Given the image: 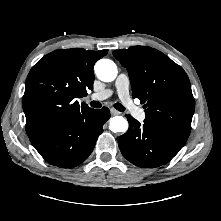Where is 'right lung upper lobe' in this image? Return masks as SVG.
<instances>
[{"instance_id": "1", "label": "right lung upper lobe", "mask_w": 221, "mask_h": 221, "mask_svg": "<svg viewBox=\"0 0 221 221\" xmlns=\"http://www.w3.org/2000/svg\"><path fill=\"white\" fill-rule=\"evenodd\" d=\"M107 52L81 48L56 50L32 67L23 96L27 135L59 125L89 108L75 99L93 89L94 64Z\"/></svg>"}]
</instances>
